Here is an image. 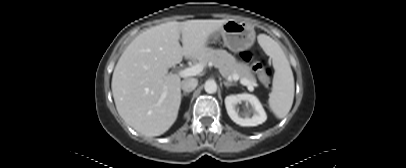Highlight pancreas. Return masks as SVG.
I'll use <instances>...</instances> for the list:
<instances>
[{"instance_id": "1", "label": "pancreas", "mask_w": 406, "mask_h": 168, "mask_svg": "<svg viewBox=\"0 0 406 168\" xmlns=\"http://www.w3.org/2000/svg\"><path fill=\"white\" fill-rule=\"evenodd\" d=\"M199 61L204 65L212 63L225 78L237 74L240 80L246 79L250 84H256V78L251 68L244 63L238 62L235 57L226 50H211L205 57L199 58Z\"/></svg>"}]
</instances>
